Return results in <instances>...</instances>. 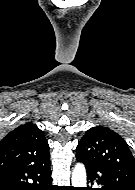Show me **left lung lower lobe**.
I'll return each mask as SVG.
<instances>
[{"label":"left lung lower lobe","mask_w":135,"mask_h":190,"mask_svg":"<svg viewBox=\"0 0 135 190\" xmlns=\"http://www.w3.org/2000/svg\"><path fill=\"white\" fill-rule=\"evenodd\" d=\"M84 164L87 172V180H90L91 184H93V181L102 184L103 187L100 188V190H125L124 187L117 183L108 173L92 164ZM85 190H92V188L88 187Z\"/></svg>","instance_id":"1"}]
</instances>
